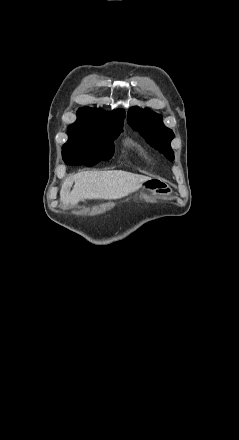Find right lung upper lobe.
I'll use <instances>...</instances> for the list:
<instances>
[{
    "label": "right lung upper lobe",
    "instance_id": "cb5924a9",
    "mask_svg": "<svg viewBox=\"0 0 239 440\" xmlns=\"http://www.w3.org/2000/svg\"><path fill=\"white\" fill-rule=\"evenodd\" d=\"M124 117L125 112L121 109L114 110L111 113H105L101 109L83 107L77 112V120L97 121L117 126H123Z\"/></svg>",
    "mask_w": 239,
    "mask_h": 440
}]
</instances>
